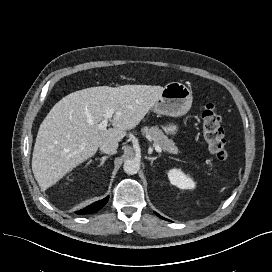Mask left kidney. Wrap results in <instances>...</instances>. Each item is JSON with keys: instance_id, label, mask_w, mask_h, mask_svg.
I'll return each mask as SVG.
<instances>
[{"instance_id": "left-kidney-1", "label": "left kidney", "mask_w": 272, "mask_h": 272, "mask_svg": "<svg viewBox=\"0 0 272 272\" xmlns=\"http://www.w3.org/2000/svg\"><path fill=\"white\" fill-rule=\"evenodd\" d=\"M168 178L172 185L177 186L180 189H194L195 182L181 169L173 168L168 171Z\"/></svg>"}]
</instances>
